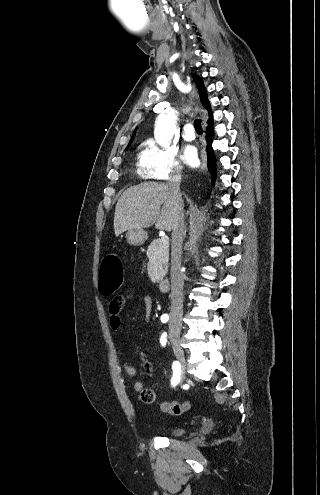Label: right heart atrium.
I'll use <instances>...</instances> for the list:
<instances>
[{
	"label": "right heart atrium",
	"mask_w": 320,
	"mask_h": 495,
	"mask_svg": "<svg viewBox=\"0 0 320 495\" xmlns=\"http://www.w3.org/2000/svg\"><path fill=\"white\" fill-rule=\"evenodd\" d=\"M140 166L144 176L153 180H168L172 177H178L182 173V166L174 149L161 148L154 143H149L146 146Z\"/></svg>",
	"instance_id": "obj_1"
}]
</instances>
